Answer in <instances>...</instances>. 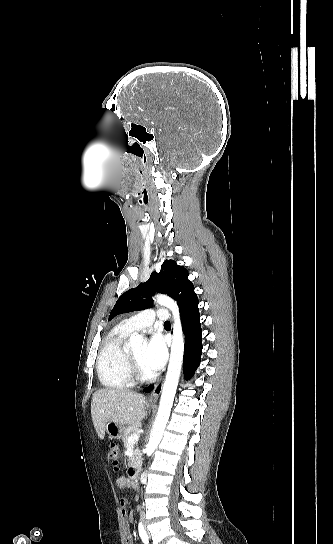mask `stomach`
Instances as JSON below:
<instances>
[{"instance_id": "0dacf381", "label": "stomach", "mask_w": 333, "mask_h": 544, "mask_svg": "<svg viewBox=\"0 0 333 544\" xmlns=\"http://www.w3.org/2000/svg\"><path fill=\"white\" fill-rule=\"evenodd\" d=\"M105 431L108 433L110 438L120 439L124 434L125 428L123 425L109 421L105 426Z\"/></svg>"}]
</instances>
